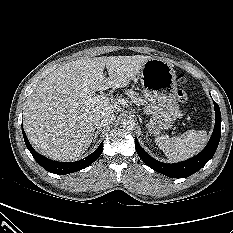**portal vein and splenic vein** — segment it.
Returning a JSON list of instances; mask_svg holds the SVG:
<instances>
[{"mask_svg":"<svg viewBox=\"0 0 233 233\" xmlns=\"http://www.w3.org/2000/svg\"><path fill=\"white\" fill-rule=\"evenodd\" d=\"M109 98L104 95H97L94 97H88L87 103L91 105H96V104H105L108 103Z\"/></svg>","mask_w":233,"mask_h":233,"instance_id":"18ae733b","label":"portal vein and splenic vein"}]
</instances>
